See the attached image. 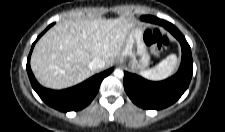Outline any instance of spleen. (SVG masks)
<instances>
[{"instance_id":"obj_1","label":"spleen","mask_w":225,"mask_h":132,"mask_svg":"<svg viewBox=\"0 0 225 132\" xmlns=\"http://www.w3.org/2000/svg\"><path fill=\"white\" fill-rule=\"evenodd\" d=\"M178 65V58L176 55L171 54L158 63L155 67L141 71V76L152 80L161 81L171 76Z\"/></svg>"}]
</instances>
